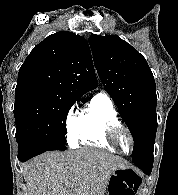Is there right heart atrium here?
<instances>
[{
	"label": "right heart atrium",
	"mask_w": 178,
	"mask_h": 195,
	"mask_svg": "<svg viewBox=\"0 0 178 195\" xmlns=\"http://www.w3.org/2000/svg\"><path fill=\"white\" fill-rule=\"evenodd\" d=\"M81 115L78 105L73 104L66 113L65 126L67 139L70 146L74 147L78 143Z\"/></svg>",
	"instance_id": "d8ad5b80"
}]
</instances>
